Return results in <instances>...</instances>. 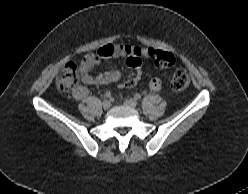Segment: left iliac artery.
<instances>
[{"label":"left iliac artery","instance_id":"left-iliac-artery-1","mask_svg":"<svg viewBox=\"0 0 248 194\" xmlns=\"http://www.w3.org/2000/svg\"><path fill=\"white\" fill-rule=\"evenodd\" d=\"M134 98H135L136 100H140V99H141V95L138 94V93H136V94L134 95Z\"/></svg>","mask_w":248,"mask_h":194}]
</instances>
